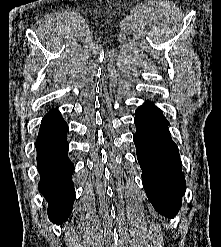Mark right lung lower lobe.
Returning a JSON list of instances; mask_svg holds the SVG:
<instances>
[{"label":"right lung lower lobe","instance_id":"right-lung-lower-lobe-1","mask_svg":"<svg viewBox=\"0 0 221 247\" xmlns=\"http://www.w3.org/2000/svg\"><path fill=\"white\" fill-rule=\"evenodd\" d=\"M67 130L68 125L60 112L51 110L42 119L36 140L41 176L38 189L49 203V219L57 224L69 217L75 199L71 179L74 166L67 156Z\"/></svg>","mask_w":221,"mask_h":247}]
</instances>
